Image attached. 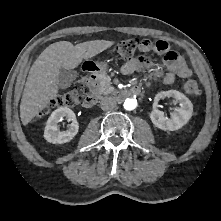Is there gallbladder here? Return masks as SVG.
<instances>
[{
	"instance_id": "obj_1",
	"label": "gallbladder",
	"mask_w": 221,
	"mask_h": 221,
	"mask_svg": "<svg viewBox=\"0 0 221 221\" xmlns=\"http://www.w3.org/2000/svg\"><path fill=\"white\" fill-rule=\"evenodd\" d=\"M77 78V72L73 69H65L61 67L59 69V76H58V86L61 89L68 88L71 83Z\"/></svg>"
}]
</instances>
